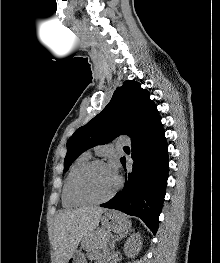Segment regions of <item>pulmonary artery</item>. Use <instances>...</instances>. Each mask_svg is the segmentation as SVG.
Listing matches in <instances>:
<instances>
[{"label": "pulmonary artery", "instance_id": "1", "mask_svg": "<svg viewBox=\"0 0 220 263\" xmlns=\"http://www.w3.org/2000/svg\"><path fill=\"white\" fill-rule=\"evenodd\" d=\"M116 141L121 145H128L130 143V138L128 136L121 135L117 137Z\"/></svg>", "mask_w": 220, "mask_h": 263}]
</instances>
